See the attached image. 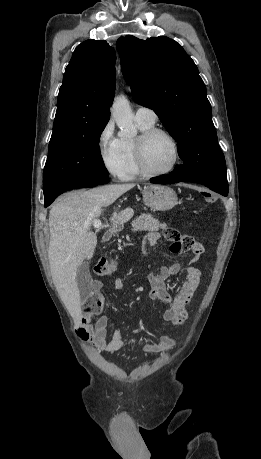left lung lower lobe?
I'll return each mask as SVG.
<instances>
[{
  "mask_svg": "<svg viewBox=\"0 0 261 459\" xmlns=\"http://www.w3.org/2000/svg\"><path fill=\"white\" fill-rule=\"evenodd\" d=\"M181 181L200 183L223 196L228 195L227 173L226 170L222 169L204 170L191 176H186L179 170L174 169L173 172L166 176L152 179L151 183L173 184Z\"/></svg>",
  "mask_w": 261,
  "mask_h": 459,
  "instance_id": "left-lung-lower-lobe-1",
  "label": "left lung lower lobe"
}]
</instances>
